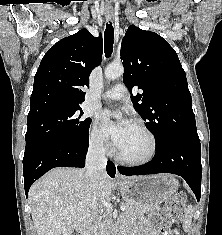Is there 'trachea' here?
<instances>
[{"label": "trachea", "mask_w": 222, "mask_h": 235, "mask_svg": "<svg viewBox=\"0 0 222 235\" xmlns=\"http://www.w3.org/2000/svg\"><path fill=\"white\" fill-rule=\"evenodd\" d=\"M113 43H114V29L112 23L109 22L106 24V29L104 32V50L106 58H109L113 52Z\"/></svg>", "instance_id": "3493384b"}]
</instances>
